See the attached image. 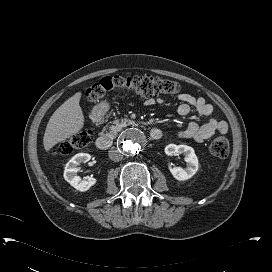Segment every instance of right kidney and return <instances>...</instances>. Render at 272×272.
Instances as JSON below:
<instances>
[{"instance_id":"obj_1","label":"right kidney","mask_w":272,"mask_h":272,"mask_svg":"<svg viewBox=\"0 0 272 272\" xmlns=\"http://www.w3.org/2000/svg\"><path fill=\"white\" fill-rule=\"evenodd\" d=\"M91 159V155L88 153H79L73 156L66 164L64 170V179L70 183L75 189L84 192L96 183V179L93 177H84L83 179L77 175L80 170L78 167L81 163H86Z\"/></svg>"}]
</instances>
